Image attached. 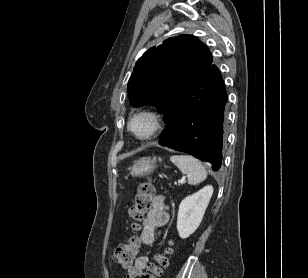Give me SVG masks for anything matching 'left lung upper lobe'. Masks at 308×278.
<instances>
[{
  "instance_id": "left-lung-upper-lobe-1",
  "label": "left lung upper lobe",
  "mask_w": 308,
  "mask_h": 278,
  "mask_svg": "<svg viewBox=\"0 0 308 278\" xmlns=\"http://www.w3.org/2000/svg\"><path fill=\"white\" fill-rule=\"evenodd\" d=\"M209 49L192 35H180L147 50L128 82L133 107L151 105L164 114L195 77L212 65Z\"/></svg>"
}]
</instances>
